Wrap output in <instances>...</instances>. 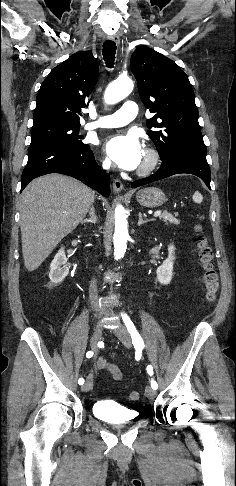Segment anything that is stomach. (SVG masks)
Here are the masks:
<instances>
[{
  "label": "stomach",
  "instance_id": "obj_1",
  "mask_svg": "<svg viewBox=\"0 0 236 486\" xmlns=\"http://www.w3.org/2000/svg\"><path fill=\"white\" fill-rule=\"evenodd\" d=\"M136 200L141 206L155 208L165 203L166 196L159 188L147 187L136 193Z\"/></svg>",
  "mask_w": 236,
  "mask_h": 486
}]
</instances>
